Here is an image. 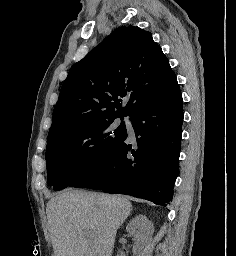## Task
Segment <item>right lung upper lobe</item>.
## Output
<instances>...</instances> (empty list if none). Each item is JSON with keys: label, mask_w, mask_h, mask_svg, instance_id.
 <instances>
[{"label": "right lung upper lobe", "mask_w": 236, "mask_h": 256, "mask_svg": "<svg viewBox=\"0 0 236 256\" xmlns=\"http://www.w3.org/2000/svg\"><path fill=\"white\" fill-rule=\"evenodd\" d=\"M176 83L169 61L150 32L119 27L70 69L48 138L76 125L132 117L146 101Z\"/></svg>", "instance_id": "right-lung-upper-lobe-1"}]
</instances>
